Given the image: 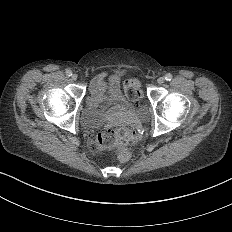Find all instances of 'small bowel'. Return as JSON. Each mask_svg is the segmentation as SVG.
Returning a JSON list of instances; mask_svg holds the SVG:
<instances>
[{
	"instance_id": "obj_1",
	"label": "small bowel",
	"mask_w": 232,
	"mask_h": 232,
	"mask_svg": "<svg viewBox=\"0 0 232 232\" xmlns=\"http://www.w3.org/2000/svg\"><path fill=\"white\" fill-rule=\"evenodd\" d=\"M109 87V99L113 103L120 100L119 81L115 77L109 76L108 71L99 72L90 82L91 96L87 103V113L89 117H95L98 111V104L103 98V88Z\"/></svg>"
}]
</instances>
